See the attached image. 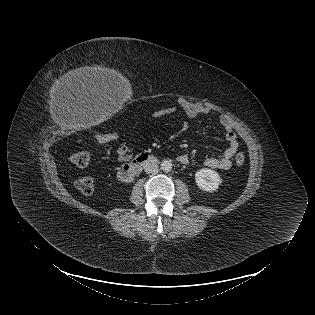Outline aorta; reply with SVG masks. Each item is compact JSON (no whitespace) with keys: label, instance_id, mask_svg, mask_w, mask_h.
I'll list each match as a JSON object with an SVG mask.
<instances>
[{"label":"aorta","instance_id":"aorta-1","mask_svg":"<svg viewBox=\"0 0 315 315\" xmlns=\"http://www.w3.org/2000/svg\"><path fill=\"white\" fill-rule=\"evenodd\" d=\"M160 166H161V169L163 171H171V169H172V162H171V160H163L161 162Z\"/></svg>","mask_w":315,"mask_h":315}]
</instances>
